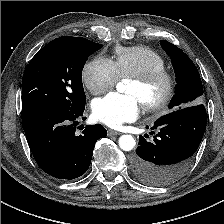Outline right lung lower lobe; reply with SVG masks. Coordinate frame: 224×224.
<instances>
[{
  "mask_svg": "<svg viewBox=\"0 0 224 224\" xmlns=\"http://www.w3.org/2000/svg\"><path fill=\"white\" fill-rule=\"evenodd\" d=\"M84 110L85 105L76 111H41L22 119L31 152L45 173L72 180L89 168L95 143L107 131L101 125H87L82 134H76Z\"/></svg>",
  "mask_w": 224,
  "mask_h": 224,
  "instance_id": "right-lung-lower-lobe-1",
  "label": "right lung lower lobe"
}]
</instances>
